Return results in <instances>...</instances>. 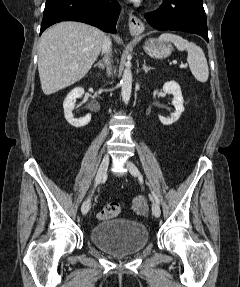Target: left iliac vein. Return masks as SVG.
<instances>
[{
	"mask_svg": "<svg viewBox=\"0 0 240 287\" xmlns=\"http://www.w3.org/2000/svg\"><path fill=\"white\" fill-rule=\"evenodd\" d=\"M126 167H127V169L129 170V172H130L133 176H135V177H138V176H139V171H138L136 165H135L132 161L127 160V161H126ZM152 213H153V215H154L155 217H157V218H158V217L160 216V214H161V210H160L159 204H158L157 202H155V201H153V203H152Z\"/></svg>",
	"mask_w": 240,
	"mask_h": 287,
	"instance_id": "4c4485c4",
	"label": "left iliac vein"
}]
</instances>
